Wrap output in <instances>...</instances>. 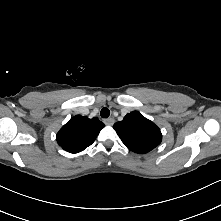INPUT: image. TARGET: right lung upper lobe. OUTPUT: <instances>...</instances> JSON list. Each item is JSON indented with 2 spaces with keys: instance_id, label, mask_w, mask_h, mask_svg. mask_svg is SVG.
I'll return each mask as SVG.
<instances>
[{
  "instance_id": "1",
  "label": "right lung upper lobe",
  "mask_w": 221,
  "mask_h": 221,
  "mask_svg": "<svg viewBox=\"0 0 221 221\" xmlns=\"http://www.w3.org/2000/svg\"><path fill=\"white\" fill-rule=\"evenodd\" d=\"M104 126V123L96 117L89 119L76 115L60 129L56 139L64 150L78 153L94 142Z\"/></svg>"
}]
</instances>
